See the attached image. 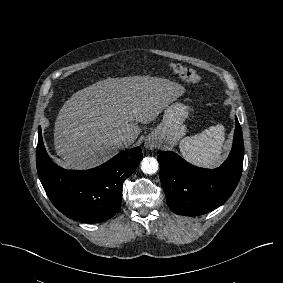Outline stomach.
Here are the masks:
<instances>
[{"label": "stomach", "mask_w": 283, "mask_h": 283, "mask_svg": "<svg viewBox=\"0 0 283 283\" xmlns=\"http://www.w3.org/2000/svg\"><path fill=\"white\" fill-rule=\"evenodd\" d=\"M189 116V109L180 102L172 103L164 109L161 123L147 136L146 142L166 143L174 146L186 134L184 121Z\"/></svg>", "instance_id": "stomach-1"}]
</instances>
